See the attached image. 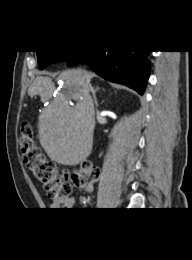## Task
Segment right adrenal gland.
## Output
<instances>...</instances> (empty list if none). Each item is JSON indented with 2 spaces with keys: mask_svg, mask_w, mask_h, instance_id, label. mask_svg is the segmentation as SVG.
Here are the masks:
<instances>
[{
  "mask_svg": "<svg viewBox=\"0 0 192 260\" xmlns=\"http://www.w3.org/2000/svg\"><path fill=\"white\" fill-rule=\"evenodd\" d=\"M89 87H90V90H91V92L93 94L95 106L98 107L96 92L99 90V87H97L96 89H94V87H92L91 85Z\"/></svg>",
  "mask_w": 192,
  "mask_h": 260,
  "instance_id": "2a0ac1e0",
  "label": "right adrenal gland"
}]
</instances>
